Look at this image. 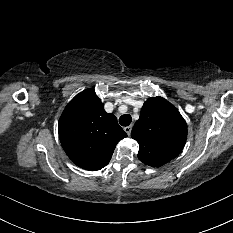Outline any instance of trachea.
Wrapping results in <instances>:
<instances>
[{
    "mask_svg": "<svg viewBox=\"0 0 233 233\" xmlns=\"http://www.w3.org/2000/svg\"><path fill=\"white\" fill-rule=\"evenodd\" d=\"M131 121H132V118H131V116L129 114L122 115L119 118V123L122 126H128V125H130Z\"/></svg>",
    "mask_w": 233,
    "mask_h": 233,
    "instance_id": "3493384b",
    "label": "trachea"
}]
</instances>
